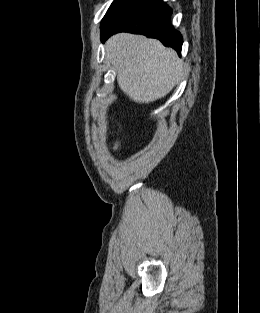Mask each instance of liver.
Instances as JSON below:
<instances>
[{
    "instance_id": "1",
    "label": "liver",
    "mask_w": 260,
    "mask_h": 313,
    "mask_svg": "<svg viewBox=\"0 0 260 313\" xmlns=\"http://www.w3.org/2000/svg\"><path fill=\"white\" fill-rule=\"evenodd\" d=\"M105 46L120 89L137 103L161 99L183 79L184 66L177 53L156 39L120 33Z\"/></svg>"
}]
</instances>
